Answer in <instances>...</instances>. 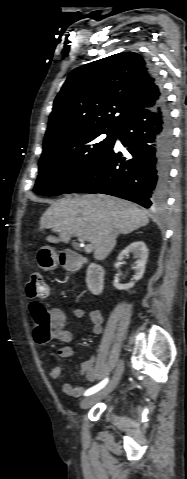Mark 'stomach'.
Returning a JSON list of instances; mask_svg holds the SVG:
<instances>
[{"label":"stomach","instance_id":"0dacf381","mask_svg":"<svg viewBox=\"0 0 187 479\" xmlns=\"http://www.w3.org/2000/svg\"><path fill=\"white\" fill-rule=\"evenodd\" d=\"M37 263L43 270H53L59 264V256L50 246H43L37 252Z\"/></svg>","mask_w":187,"mask_h":479}]
</instances>
